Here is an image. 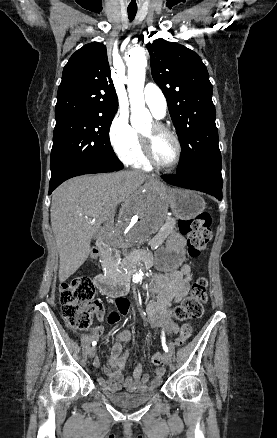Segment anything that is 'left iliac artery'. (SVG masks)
<instances>
[{
    "instance_id": "44dca946",
    "label": "left iliac artery",
    "mask_w": 277,
    "mask_h": 438,
    "mask_svg": "<svg viewBox=\"0 0 277 438\" xmlns=\"http://www.w3.org/2000/svg\"><path fill=\"white\" fill-rule=\"evenodd\" d=\"M161 342H162V347H163L164 351H165V352H168V347H167V345H166L164 331H162Z\"/></svg>"
}]
</instances>
